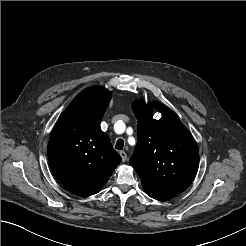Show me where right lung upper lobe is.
Segmentation results:
<instances>
[{
  "label": "right lung upper lobe",
  "mask_w": 246,
  "mask_h": 246,
  "mask_svg": "<svg viewBox=\"0 0 246 246\" xmlns=\"http://www.w3.org/2000/svg\"><path fill=\"white\" fill-rule=\"evenodd\" d=\"M110 98L103 87L84 90L61 114L49 139L53 173L65 188L80 196L98 193L122 160L100 129Z\"/></svg>",
  "instance_id": "1"
}]
</instances>
